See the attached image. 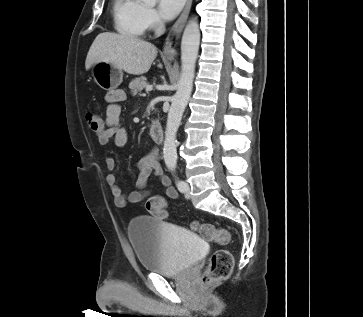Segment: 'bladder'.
Returning <instances> with one entry per match:
<instances>
[{
	"instance_id": "1",
	"label": "bladder",
	"mask_w": 363,
	"mask_h": 317,
	"mask_svg": "<svg viewBox=\"0 0 363 317\" xmlns=\"http://www.w3.org/2000/svg\"><path fill=\"white\" fill-rule=\"evenodd\" d=\"M128 233L142 269L164 276L185 272L207 252L202 235L155 218L133 219Z\"/></svg>"
}]
</instances>
